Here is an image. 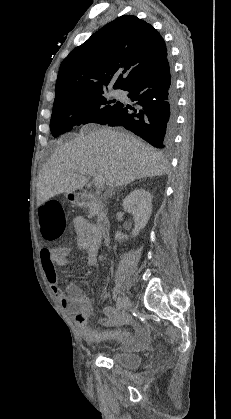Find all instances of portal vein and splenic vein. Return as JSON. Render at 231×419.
I'll use <instances>...</instances> for the list:
<instances>
[{"instance_id":"18ae733b","label":"portal vein and splenic vein","mask_w":231,"mask_h":419,"mask_svg":"<svg viewBox=\"0 0 231 419\" xmlns=\"http://www.w3.org/2000/svg\"><path fill=\"white\" fill-rule=\"evenodd\" d=\"M80 174H89L93 176L94 184L97 189H100L104 186V177L98 174L94 169H83L79 171Z\"/></svg>"}]
</instances>
